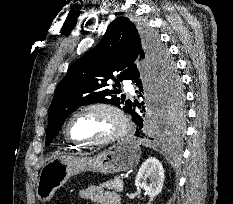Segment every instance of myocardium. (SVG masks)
<instances>
[{
  "mask_svg": "<svg viewBox=\"0 0 233 204\" xmlns=\"http://www.w3.org/2000/svg\"><path fill=\"white\" fill-rule=\"evenodd\" d=\"M94 110L105 111L111 114L117 122L116 130L111 135L95 141L81 140L74 138L70 133V124L73 121V119L80 114ZM128 129H129V120L126 114L124 113V111L120 107L110 102H93L83 105L78 109H76L73 113H71V115L67 118L65 122L64 134L68 140L82 146H105L112 144L117 140L121 139L127 133Z\"/></svg>",
  "mask_w": 233,
  "mask_h": 204,
  "instance_id": "myocardium-1",
  "label": "myocardium"
}]
</instances>
